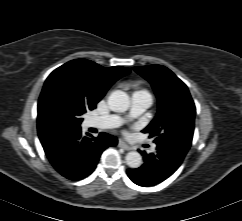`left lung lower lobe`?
<instances>
[{
    "label": "left lung lower lobe",
    "instance_id": "obj_1",
    "mask_svg": "<svg viewBox=\"0 0 242 221\" xmlns=\"http://www.w3.org/2000/svg\"><path fill=\"white\" fill-rule=\"evenodd\" d=\"M156 153L143 155L144 163L136 169H128V177L139 186H154L171 176L182 164L186 152L170 145H157Z\"/></svg>",
    "mask_w": 242,
    "mask_h": 221
}]
</instances>
